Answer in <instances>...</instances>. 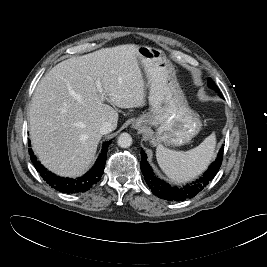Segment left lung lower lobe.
Listing matches in <instances>:
<instances>
[{
	"mask_svg": "<svg viewBox=\"0 0 267 267\" xmlns=\"http://www.w3.org/2000/svg\"><path fill=\"white\" fill-rule=\"evenodd\" d=\"M223 149L224 147L220 149L217 159L210 165L208 170L201 178L197 179L194 183L187 184L183 187H172L165 181L155 176L151 167L146 161L147 156L143 150H141V171L144 175L146 183L149 185L154 195L169 201H184L197 195L215 177L222 163Z\"/></svg>",
	"mask_w": 267,
	"mask_h": 267,
	"instance_id": "0a47b994",
	"label": "left lung lower lobe"
}]
</instances>
